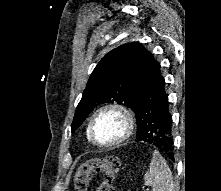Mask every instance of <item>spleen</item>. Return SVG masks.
Wrapping results in <instances>:
<instances>
[{
	"label": "spleen",
	"instance_id": "3e777b00",
	"mask_svg": "<svg viewBox=\"0 0 221 191\" xmlns=\"http://www.w3.org/2000/svg\"><path fill=\"white\" fill-rule=\"evenodd\" d=\"M144 183L152 187V191H174L172 172L163 157L154 152L149 171L144 176Z\"/></svg>",
	"mask_w": 221,
	"mask_h": 191
}]
</instances>
